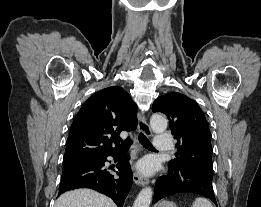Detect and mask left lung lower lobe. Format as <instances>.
I'll return each mask as SVG.
<instances>
[{
  "label": "left lung lower lobe",
  "mask_w": 261,
  "mask_h": 207,
  "mask_svg": "<svg viewBox=\"0 0 261 207\" xmlns=\"http://www.w3.org/2000/svg\"><path fill=\"white\" fill-rule=\"evenodd\" d=\"M179 193L200 194L212 200L217 206L212 179L186 169H169L167 175L161 176L157 180L153 203Z\"/></svg>",
  "instance_id": "0a47b994"
}]
</instances>
